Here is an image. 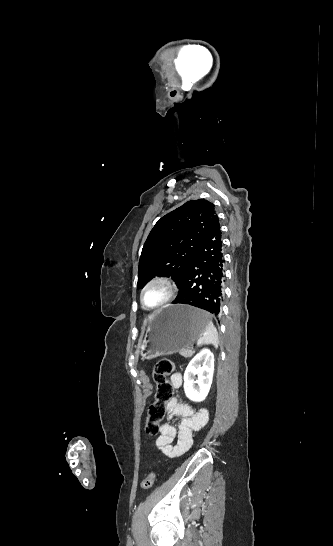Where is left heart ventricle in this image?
Instances as JSON below:
<instances>
[{
	"label": "left heart ventricle",
	"mask_w": 333,
	"mask_h": 546,
	"mask_svg": "<svg viewBox=\"0 0 333 546\" xmlns=\"http://www.w3.org/2000/svg\"><path fill=\"white\" fill-rule=\"evenodd\" d=\"M168 291L165 286L161 284H154L150 286L145 292V301L148 306H156L160 304L166 297Z\"/></svg>",
	"instance_id": "left-heart-ventricle-1"
}]
</instances>
